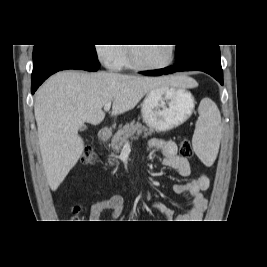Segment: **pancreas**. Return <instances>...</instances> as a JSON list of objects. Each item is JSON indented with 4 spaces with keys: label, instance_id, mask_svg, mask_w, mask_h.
<instances>
[{
    "label": "pancreas",
    "instance_id": "cf45deb5",
    "mask_svg": "<svg viewBox=\"0 0 267 267\" xmlns=\"http://www.w3.org/2000/svg\"><path fill=\"white\" fill-rule=\"evenodd\" d=\"M153 132V128L148 129L141 123H135V121H133L130 124H126L123 128L117 131V133L112 138L110 147L114 152L118 153L121 150L123 144L128 140V138L133 137L134 134L139 136L140 134L144 133V137H147L149 135H152ZM115 161V158L108 159V162L111 165H113Z\"/></svg>",
    "mask_w": 267,
    "mask_h": 267
}]
</instances>
